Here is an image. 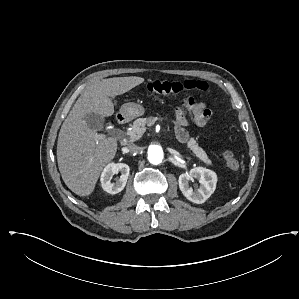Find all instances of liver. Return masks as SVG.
<instances>
[{
    "instance_id": "obj_1",
    "label": "liver",
    "mask_w": 299,
    "mask_h": 299,
    "mask_svg": "<svg viewBox=\"0 0 299 299\" xmlns=\"http://www.w3.org/2000/svg\"><path fill=\"white\" fill-rule=\"evenodd\" d=\"M144 82V78L113 77L90 83L63 122L57 142V162L67 187L79 196L90 195L103 168L117 151L112 137L95 139L104 118L113 115L110 97L122 95Z\"/></svg>"
}]
</instances>
